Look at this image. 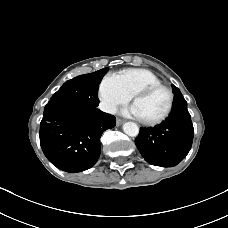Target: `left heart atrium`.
Listing matches in <instances>:
<instances>
[{
    "label": "left heart atrium",
    "mask_w": 228,
    "mask_h": 228,
    "mask_svg": "<svg viewBox=\"0 0 228 228\" xmlns=\"http://www.w3.org/2000/svg\"><path fill=\"white\" fill-rule=\"evenodd\" d=\"M123 114L125 115H133L135 117H139L140 118V114L136 108V106L133 104L132 106L126 108L123 110Z\"/></svg>",
    "instance_id": "39dd6f15"
}]
</instances>
